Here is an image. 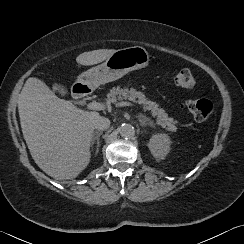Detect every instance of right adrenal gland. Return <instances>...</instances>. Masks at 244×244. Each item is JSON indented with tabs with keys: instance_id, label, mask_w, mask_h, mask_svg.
<instances>
[{
	"instance_id": "right-adrenal-gland-1",
	"label": "right adrenal gland",
	"mask_w": 244,
	"mask_h": 244,
	"mask_svg": "<svg viewBox=\"0 0 244 244\" xmlns=\"http://www.w3.org/2000/svg\"><path fill=\"white\" fill-rule=\"evenodd\" d=\"M102 133H103L102 131H97L94 133V137L92 139L91 146H93L95 142L97 143L95 154H98V152H99L100 136L102 135Z\"/></svg>"
}]
</instances>
